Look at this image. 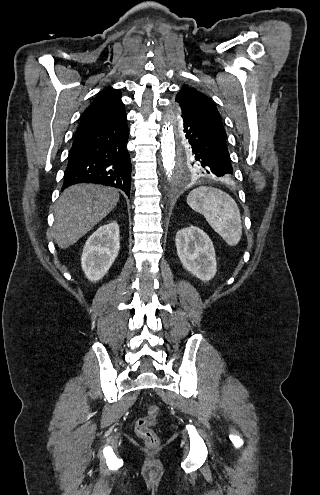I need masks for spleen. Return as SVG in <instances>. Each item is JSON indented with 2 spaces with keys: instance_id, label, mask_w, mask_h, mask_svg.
Wrapping results in <instances>:
<instances>
[{
  "instance_id": "spleen-1",
  "label": "spleen",
  "mask_w": 320,
  "mask_h": 495,
  "mask_svg": "<svg viewBox=\"0 0 320 495\" xmlns=\"http://www.w3.org/2000/svg\"><path fill=\"white\" fill-rule=\"evenodd\" d=\"M187 204L204 215L212 229L229 246L239 243L242 236V222L235 200L224 191L201 186L187 196Z\"/></svg>"
}]
</instances>
